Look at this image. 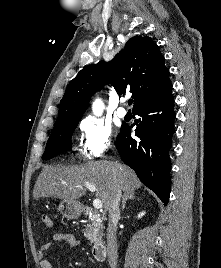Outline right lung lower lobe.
<instances>
[{
    "mask_svg": "<svg viewBox=\"0 0 221 268\" xmlns=\"http://www.w3.org/2000/svg\"><path fill=\"white\" fill-rule=\"evenodd\" d=\"M133 113L140 116L135 121L136 138L130 136L131 128L128 125H122L116 139L117 150L123 162L166 205L170 195L169 152L176 117L172 92L135 108Z\"/></svg>",
    "mask_w": 221,
    "mask_h": 268,
    "instance_id": "obj_1",
    "label": "right lung lower lobe"
}]
</instances>
